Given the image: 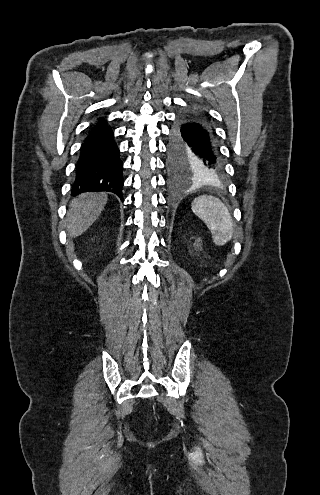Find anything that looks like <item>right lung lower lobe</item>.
I'll return each instance as SVG.
<instances>
[{
	"instance_id": "obj_1",
	"label": "right lung lower lobe",
	"mask_w": 320,
	"mask_h": 495,
	"mask_svg": "<svg viewBox=\"0 0 320 495\" xmlns=\"http://www.w3.org/2000/svg\"><path fill=\"white\" fill-rule=\"evenodd\" d=\"M107 121L101 120L88 129L76 164L72 195L108 191L122 198L123 162Z\"/></svg>"
}]
</instances>
